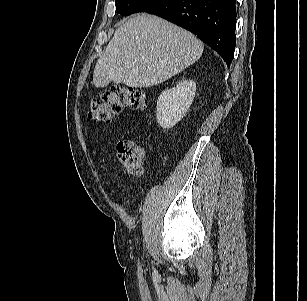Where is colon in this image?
I'll return each mask as SVG.
<instances>
[{
  "label": "colon",
  "mask_w": 307,
  "mask_h": 301,
  "mask_svg": "<svg viewBox=\"0 0 307 301\" xmlns=\"http://www.w3.org/2000/svg\"><path fill=\"white\" fill-rule=\"evenodd\" d=\"M145 104L146 95L142 89L116 87L91 100L90 116L97 122L108 123L124 108L139 110L143 109ZM116 152L119 163L129 173L133 175L142 173L143 152L132 139L124 137L119 140Z\"/></svg>",
  "instance_id": "obj_1"
}]
</instances>
